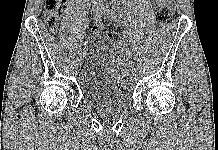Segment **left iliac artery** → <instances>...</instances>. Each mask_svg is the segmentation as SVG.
Returning <instances> with one entry per match:
<instances>
[{"label": "left iliac artery", "mask_w": 218, "mask_h": 150, "mask_svg": "<svg viewBox=\"0 0 218 150\" xmlns=\"http://www.w3.org/2000/svg\"><path fill=\"white\" fill-rule=\"evenodd\" d=\"M112 16L114 17L115 24L121 27L123 24L120 22V20H118L119 16L116 15L115 13ZM128 71H133V66L131 64L128 66Z\"/></svg>", "instance_id": "1"}]
</instances>
